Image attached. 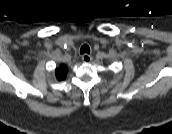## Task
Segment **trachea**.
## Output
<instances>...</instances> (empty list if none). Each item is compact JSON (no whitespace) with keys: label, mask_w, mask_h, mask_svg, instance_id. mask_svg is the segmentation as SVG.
<instances>
[{"label":"trachea","mask_w":172,"mask_h":134,"mask_svg":"<svg viewBox=\"0 0 172 134\" xmlns=\"http://www.w3.org/2000/svg\"><path fill=\"white\" fill-rule=\"evenodd\" d=\"M83 53H87V54H89L90 53V48H89V46L88 45H83L82 47H81V49H80V54H83Z\"/></svg>","instance_id":"3493384b"}]
</instances>
